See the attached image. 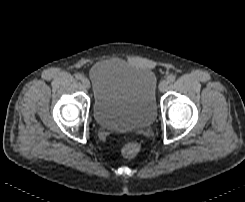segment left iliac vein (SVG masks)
<instances>
[{"mask_svg": "<svg viewBox=\"0 0 245 202\" xmlns=\"http://www.w3.org/2000/svg\"><path fill=\"white\" fill-rule=\"evenodd\" d=\"M168 87V82L166 80H162L159 84V90L164 92Z\"/></svg>", "mask_w": 245, "mask_h": 202, "instance_id": "left-iliac-vein-1", "label": "left iliac vein"}]
</instances>
